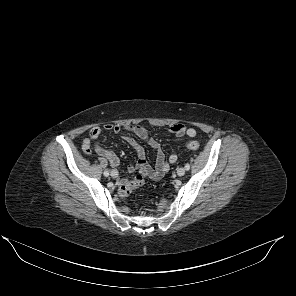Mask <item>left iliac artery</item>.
Here are the masks:
<instances>
[{"mask_svg":"<svg viewBox=\"0 0 296 296\" xmlns=\"http://www.w3.org/2000/svg\"><path fill=\"white\" fill-rule=\"evenodd\" d=\"M185 169L188 171L190 169V165L189 164H186L185 165Z\"/></svg>","mask_w":296,"mask_h":296,"instance_id":"1","label":"left iliac artery"}]
</instances>
